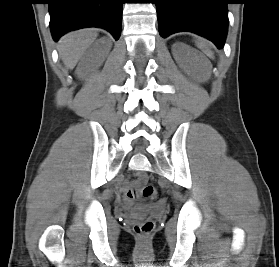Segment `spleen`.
<instances>
[{
  "label": "spleen",
  "mask_w": 279,
  "mask_h": 267,
  "mask_svg": "<svg viewBox=\"0 0 279 267\" xmlns=\"http://www.w3.org/2000/svg\"><path fill=\"white\" fill-rule=\"evenodd\" d=\"M197 46L209 57H213L212 51L209 49L208 45L204 41L196 42Z\"/></svg>",
  "instance_id": "spleen-1"
}]
</instances>
